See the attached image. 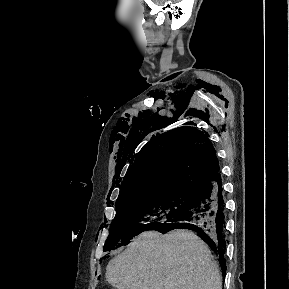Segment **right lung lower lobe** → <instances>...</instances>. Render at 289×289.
<instances>
[{
  "label": "right lung lower lobe",
  "instance_id": "right-lung-lower-lobe-1",
  "mask_svg": "<svg viewBox=\"0 0 289 289\" xmlns=\"http://www.w3.org/2000/svg\"><path fill=\"white\" fill-rule=\"evenodd\" d=\"M195 194V200L185 214L169 220L157 231L166 233L174 229H189L196 232L218 255L219 264L225 275V205L221 177Z\"/></svg>",
  "mask_w": 289,
  "mask_h": 289
}]
</instances>
